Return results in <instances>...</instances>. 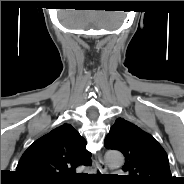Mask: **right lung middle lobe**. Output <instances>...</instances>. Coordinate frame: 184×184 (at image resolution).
I'll use <instances>...</instances> for the list:
<instances>
[{"instance_id": "right-lung-middle-lobe-1", "label": "right lung middle lobe", "mask_w": 184, "mask_h": 184, "mask_svg": "<svg viewBox=\"0 0 184 184\" xmlns=\"http://www.w3.org/2000/svg\"><path fill=\"white\" fill-rule=\"evenodd\" d=\"M34 184H46V183H34Z\"/></svg>"}]
</instances>
